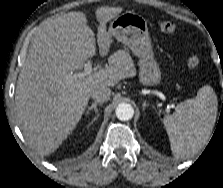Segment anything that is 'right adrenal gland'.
<instances>
[{
  "instance_id": "2a0ac1e0",
  "label": "right adrenal gland",
  "mask_w": 223,
  "mask_h": 188,
  "mask_svg": "<svg viewBox=\"0 0 223 188\" xmlns=\"http://www.w3.org/2000/svg\"><path fill=\"white\" fill-rule=\"evenodd\" d=\"M98 105H102V103L99 102H94L90 107H88V109L86 110V114L89 113V111L94 110L95 114H97L98 110H97V106Z\"/></svg>"
}]
</instances>
